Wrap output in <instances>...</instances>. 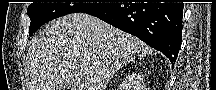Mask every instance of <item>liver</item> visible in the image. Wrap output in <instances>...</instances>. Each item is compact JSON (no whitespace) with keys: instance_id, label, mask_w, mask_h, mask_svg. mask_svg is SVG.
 <instances>
[{"instance_id":"liver-1","label":"liver","mask_w":216,"mask_h":90,"mask_svg":"<svg viewBox=\"0 0 216 90\" xmlns=\"http://www.w3.org/2000/svg\"><path fill=\"white\" fill-rule=\"evenodd\" d=\"M150 52L139 38L94 16L68 14L31 42L27 90H106L118 70Z\"/></svg>"}]
</instances>
